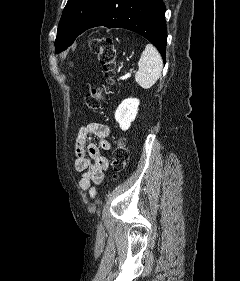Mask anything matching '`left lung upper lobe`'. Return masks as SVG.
Listing matches in <instances>:
<instances>
[{"label": "left lung upper lobe", "instance_id": "obj_1", "mask_svg": "<svg viewBox=\"0 0 240 281\" xmlns=\"http://www.w3.org/2000/svg\"><path fill=\"white\" fill-rule=\"evenodd\" d=\"M103 0H68L60 19L55 41V53L70 46L87 20Z\"/></svg>", "mask_w": 240, "mask_h": 281}]
</instances>
